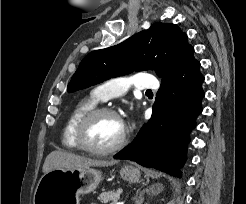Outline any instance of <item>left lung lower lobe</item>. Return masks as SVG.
I'll list each match as a JSON object with an SVG mask.
<instances>
[{
  "mask_svg": "<svg viewBox=\"0 0 246 204\" xmlns=\"http://www.w3.org/2000/svg\"><path fill=\"white\" fill-rule=\"evenodd\" d=\"M190 47L161 81L151 119L135 140L114 156L181 177L178 169L185 161L188 134L202 112L204 97L200 63Z\"/></svg>",
  "mask_w": 246,
  "mask_h": 204,
  "instance_id": "0a47b994",
  "label": "left lung lower lobe"
}]
</instances>
